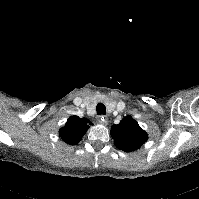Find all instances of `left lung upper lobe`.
<instances>
[{
    "instance_id": "1",
    "label": "left lung upper lobe",
    "mask_w": 199,
    "mask_h": 199,
    "mask_svg": "<svg viewBox=\"0 0 199 199\" xmlns=\"http://www.w3.org/2000/svg\"><path fill=\"white\" fill-rule=\"evenodd\" d=\"M110 133L116 147L125 152L139 149L148 139L147 133L130 115L123 118L119 124L113 125Z\"/></svg>"
}]
</instances>
